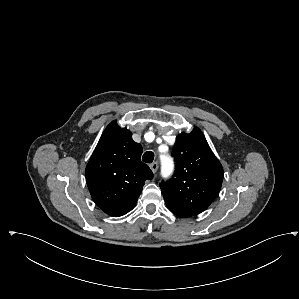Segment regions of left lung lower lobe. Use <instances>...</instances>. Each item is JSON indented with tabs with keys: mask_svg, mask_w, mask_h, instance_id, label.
Masks as SVG:
<instances>
[{
	"mask_svg": "<svg viewBox=\"0 0 299 299\" xmlns=\"http://www.w3.org/2000/svg\"><path fill=\"white\" fill-rule=\"evenodd\" d=\"M166 205H167V207L169 208V210H170L172 213H174L175 215H177V216H180V217H190V216H192V215H190V214H188V213H186V212H184V211H181V210H179V209L173 207L172 205H170V204H168V203H166Z\"/></svg>",
	"mask_w": 299,
	"mask_h": 299,
	"instance_id": "0a47b994",
	"label": "left lung lower lobe"
}]
</instances>
